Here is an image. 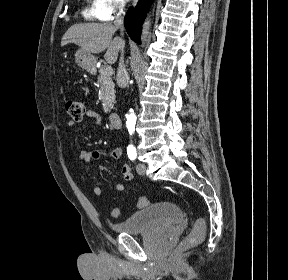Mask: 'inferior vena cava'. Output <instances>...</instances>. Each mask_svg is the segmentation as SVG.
I'll return each instance as SVG.
<instances>
[{
	"label": "inferior vena cava",
	"instance_id": "obj_1",
	"mask_svg": "<svg viewBox=\"0 0 288 280\" xmlns=\"http://www.w3.org/2000/svg\"><path fill=\"white\" fill-rule=\"evenodd\" d=\"M124 4H118V13L114 20V25L121 30V35H123V18H124ZM122 55L119 61V67L117 70V84L119 87H126L128 85L129 76L125 68L124 58H123V48L121 49Z\"/></svg>",
	"mask_w": 288,
	"mask_h": 280
}]
</instances>
